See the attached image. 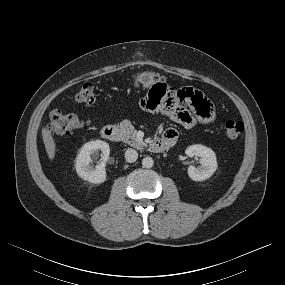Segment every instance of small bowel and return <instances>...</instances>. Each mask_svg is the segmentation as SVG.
Returning <instances> with one entry per match:
<instances>
[{
    "label": "small bowel",
    "instance_id": "1",
    "mask_svg": "<svg viewBox=\"0 0 285 285\" xmlns=\"http://www.w3.org/2000/svg\"><path fill=\"white\" fill-rule=\"evenodd\" d=\"M146 95L139 101L142 110L166 114L185 128L210 124L215 120L214 105L201 91L193 87H184L178 91L166 80L155 78L150 81ZM177 138V130L167 128L161 139L173 145Z\"/></svg>",
    "mask_w": 285,
    "mask_h": 285
}]
</instances>
